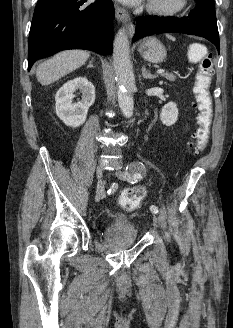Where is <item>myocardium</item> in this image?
<instances>
[{"instance_id":"obj_1","label":"myocardium","mask_w":233,"mask_h":328,"mask_svg":"<svg viewBox=\"0 0 233 328\" xmlns=\"http://www.w3.org/2000/svg\"><path fill=\"white\" fill-rule=\"evenodd\" d=\"M188 6V0H173L169 3H161L155 0H150L147 8L150 13L172 17L184 12Z\"/></svg>"}]
</instances>
